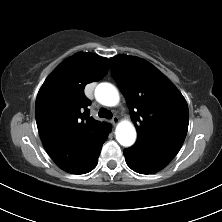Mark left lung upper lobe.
I'll list each match as a JSON object with an SVG mask.
<instances>
[{"label": "left lung upper lobe", "mask_w": 222, "mask_h": 222, "mask_svg": "<svg viewBox=\"0 0 222 222\" xmlns=\"http://www.w3.org/2000/svg\"><path fill=\"white\" fill-rule=\"evenodd\" d=\"M112 75L125 96L138 140L124 151L163 169L179 152L188 129V105L173 83L144 59L117 55Z\"/></svg>", "instance_id": "left-lung-upper-lobe-1"}]
</instances>
